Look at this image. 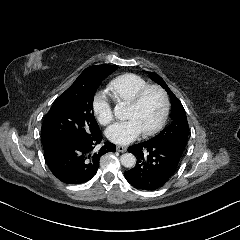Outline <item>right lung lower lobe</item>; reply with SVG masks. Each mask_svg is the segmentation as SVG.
<instances>
[{"label":"right lung lower lobe","mask_w":240,"mask_h":240,"mask_svg":"<svg viewBox=\"0 0 240 240\" xmlns=\"http://www.w3.org/2000/svg\"><path fill=\"white\" fill-rule=\"evenodd\" d=\"M102 140L101 133L85 138H55L43 143L45 160L60 181L81 184L97 172L102 155L115 152V145L105 142L99 150L95 146Z\"/></svg>","instance_id":"obj_1"}]
</instances>
